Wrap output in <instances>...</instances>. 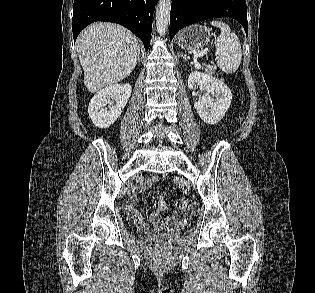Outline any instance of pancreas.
Here are the masks:
<instances>
[{
	"instance_id": "pancreas-1",
	"label": "pancreas",
	"mask_w": 315,
	"mask_h": 293,
	"mask_svg": "<svg viewBox=\"0 0 315 293\" xmlns=\"http://www.w3.org/2000/svg\"><path fill=\"white\" fill-rule=\"evenodd\" d=\"M203 70H204L205 72H207V73L214 74L216 68L213 67V66H210V65H206V66L203 67Z\"/></svg>"
}]
</instances>
